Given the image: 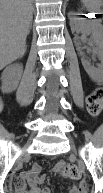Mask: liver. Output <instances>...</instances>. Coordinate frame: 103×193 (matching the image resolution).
Returning <instances> with one entry per match:
<instances>
[{
    "instance_id": "liver-1",
    "label": "liver",
    "mask_w": 103,
    "mask_h": 193,
    "mask_svg": "<svg viewBox=\"0 0 103 193\" xmlns=\"http://www.w3.org/2000/svg\"><path fill=\"white\" fill-rule=\"evenodd\" d=\"M0 68L24 56L32 22L31 0H1Z\"/></svg>"
}]
</instances>
